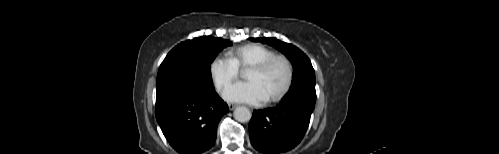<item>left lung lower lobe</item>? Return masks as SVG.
<instances>
[{"label":"left lung lower lobe","instance_id":"1","mask_svg":"<svg viewBox=\"0 0 499 154\" xmlns=\"http://www.w3.org/2000/svg\"><path fill=\"white\" fill-rule=\"evenodd\" d=\"M315 101V86H301L291 89L277 107L255 110L249 123L253 147L265 154L293 149L308 128Z\"/></svg>","mask_w":499,"mask_h":154}]
</instances>
